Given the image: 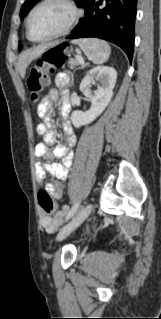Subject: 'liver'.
<instances>
[{"instance_id": "liver-1", "label": "liver", "mask_w": 161, "mask_h": 319, "mask_svg": "<svg viewBox=\"0 0 161 319\" xmlns=\"http://www.w3.org/2000/svg\"><path fill=\"white\" fill-rule=\"evenodd\" d=\"M47 48V46H38L33 49L26 50L19 55L17 70L22 78L25 77L26 69L32 60L39 57Z\"/></svg>"}]
</instances>
